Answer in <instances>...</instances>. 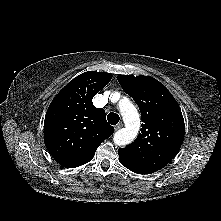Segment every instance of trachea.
Listing matches in <instances>:
<instances>
[{
    "mask_svg": "<svg viewBox=\"0 0 221 221\" xmlns=\"http://www.w3.org/2000/svg\"><path fill=\"white\" fill-rule=\"evenodd\" d=\"M107 120L111 125H116L119 122L120 117L118 114L111 112L108 114Z\"/></svg>",
    "mask_w": 221,
    "mask_h": 221,
    "instance_id": "trachea-1",
    "label": "trachea"
}]
</instances>
